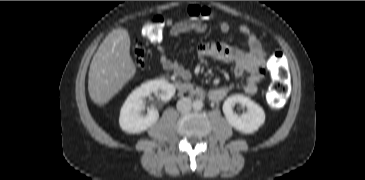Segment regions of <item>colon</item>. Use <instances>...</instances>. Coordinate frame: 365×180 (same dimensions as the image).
<instances>
[{"label": "colon", "mask_w": 365, "mask_h": 180, "mask_svg": "<svg viewBox=\"0 0 365 180\" xmlns=\"http://www.w3.org/2000/svg\"><path fill=\"white\" fill-rule=\"evenodd\" d=\"M187 14L192 18L210 19L212 16L208 8L200 6H190ZM166 21L162 16H153L148 19L143 28V36L152 43H158L162 40L163 31ZM133 59L138 67L145 63V50L142 44L136 43L133 47ZM269 69L272 75V83L267 92L266 98L269 107L273 110L282 108L286 102V96L289 91L288 69L286 59L282 53H275L269 61Z\"/></svg>", "instance_id": "obj_1"}]
</instances>
